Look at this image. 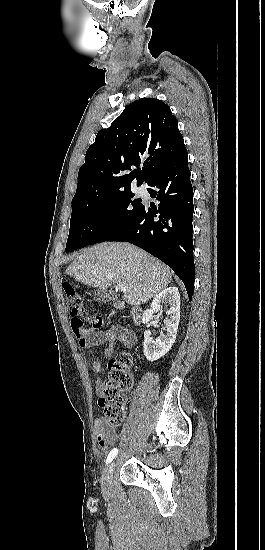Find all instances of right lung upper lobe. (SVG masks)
<instances>
[{
    "instance_id": "cb5924a9",
    "label": "right lung upper lobe",
    "mask_w": 265,
    "mask_h": 550,
    "mask_svg": "<svg viewBox=\"0 0 265 550\" xmlns=\"http://www.w3.org/2000/svg\"><path fill=\"white\" fill-rule=\"evenodd\" d=\"M185 149L177 119L155 98L129 104L108 129L98 132L78 172L74 198L91 199L130 190L151 180ZM143 163L137 174L134 167ZM137 174V175H135Z\"/></svg>"
}]
</instances>
